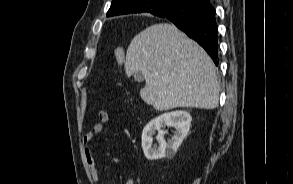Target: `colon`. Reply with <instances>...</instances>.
I'll list each match as a JSON object with an SVG mask.
<instances>
[{"instance_id":"obj_1","label":"colon","mask_w":293,"mask_h":184,"mask_svg":"<svg viewBox=\"0 0 293 184\" xmlns=\"http://www.w3.org/2000/svg\"><path fill=\"white\" fill-rule=\"evenodd\" d=\"M114 57L119 65H123L125 61V53L122 48L114 49Z\"/></svg>"}]
</instances>
